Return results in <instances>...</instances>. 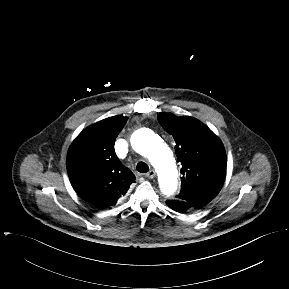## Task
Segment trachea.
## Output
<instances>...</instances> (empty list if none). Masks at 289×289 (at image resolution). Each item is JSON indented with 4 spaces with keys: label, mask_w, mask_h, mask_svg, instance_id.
Segmentation results:
<instances>
[{
    "label": "trachea",
    "mask_w": 289,
    "mask_h": 289,
    "mask_svg": "<svg viewBox=\"0 0 289 289\" xmlns=\"http://www.w3.org/2000/svg\"><path fill=\"white\" fill-rule=\"evenodd\" d=\"M136 168H137V171L140 173H146L149 171V166L145 162H139Z\"/></svg>",
    "instance_id": "obj_1"
}]
</instances>
